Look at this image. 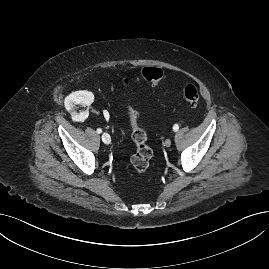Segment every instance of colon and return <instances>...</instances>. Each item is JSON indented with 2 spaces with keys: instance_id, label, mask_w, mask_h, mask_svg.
Here are the masks:
<instances>
[{
  "instance_id": "1",
  "label": "colon",
  "mask_w": 269,
  "mask_h": 269,
  "mask_svg": "<svg viewBox=\"0 0 269 269\" xmlns=\"http://www.w3.org/2000/svg\"><path fill=\"white\" fill-rule=\"evenodd\" d=\"M143 77L155 85H159L163 79V72L156 67H147L142 71ZM184 98L189 106L197 105L199 101V92L196 86L187 85L184 89ZM128 117L132 127V139L136 150L131 158L133 168L138 173H144L148 170L152 158V149L147 144V135L145 130L139 124V115L137 111L128 106Z\"/></svg>"
}]
</instances>
